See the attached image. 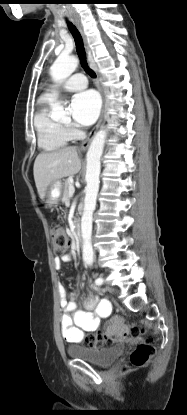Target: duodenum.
I'll list each match as a JSON object with an SVG mask.
<instances>
[{"mask_svg": "<svg viewBox=\"0 0 187 415\" xmlns=\"http://www.w3.org/2000/svg\"><path fill=\"white\" fill-rule=\"evenodd\" d=\"M73 236L76 239V241H81V224L80 221H75L73 224Z\"/></svg>", "mask_w": 187, "mask_h": 415, "instance_id": "410a0bca", "label": "duodenum"}]
</instances>
